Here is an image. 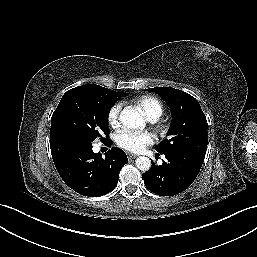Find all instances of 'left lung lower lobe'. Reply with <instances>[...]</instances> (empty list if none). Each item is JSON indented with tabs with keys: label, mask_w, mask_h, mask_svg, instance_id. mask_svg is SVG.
<instances>
[{
	"label": "left lung lower lobe",
	"mask_w": 257,
	"mask_h": 257,
	"mask_svg": "<svg viewBox=\"0 0 257 257\" xmlns=\"http://www.w3.org/2000/svg\"><path fill=\"white\" fill-rule=\"evenodd\" d=\"M167 161L154 163L142 177L146 187L161 196H172L187 189L197 177L204 158L192 153H164Z\"/></svg>",
	"instance_id": "1"
}]
</instances>
